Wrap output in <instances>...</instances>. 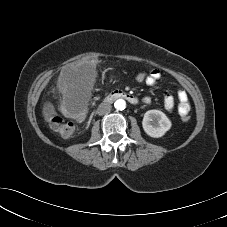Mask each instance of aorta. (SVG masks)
Instances as JSON below:
<instances>
[{"label": "aorta", "mask_w": 227, "mask_h": 227, "mask_svg": "<svg viewBox=\"0 0 227 227\" xmlns=\"http://www.w3.org/2000/svg\"><path fill=\"white\" fill-rule=\"evenodd\" d=\"M114 107L117 110H124L126 108V101L124 99H118L115 101Z\"/></svg>", "instance_id": "aorta-1"}]
</instances>
